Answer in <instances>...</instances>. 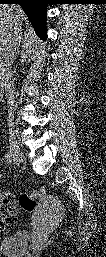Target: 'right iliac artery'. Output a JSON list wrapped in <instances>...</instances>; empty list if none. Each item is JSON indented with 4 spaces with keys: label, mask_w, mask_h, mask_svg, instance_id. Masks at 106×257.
Here are the masks:
<instances>
[{
    "label": "right iliac artery",
    "mask_w": 106,
    "mask_h": 257,
    "mask_svg": "<svg viewBox=\"0 0 106 257\" xmlns=\"http://www.w3.org/2000/svg\"><path fill=\"white\" fill-rule=\"evenodd\" d=\"M6 162H7V164L11 165V163H12L11 152H7V154H6Z\"/></svg>",
    "instance_id": "obj_1"
}]
</instances>
